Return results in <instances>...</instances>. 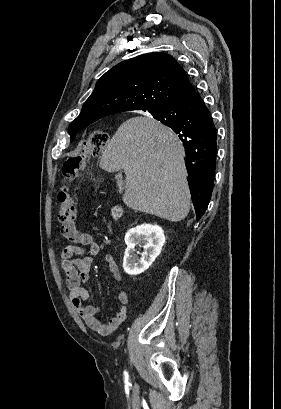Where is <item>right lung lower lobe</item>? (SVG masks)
Returning a JSON list of instances; mask_svg holds the SVG:
<instances>
[{
  "instance_id": "1",
  "label": "right lung lower lobe",
  "mask_w": 281,
  "mask_h": 409,
  "mask_svg": "<svg viewBox=\"0 0 281 409\" xmlns=\"http://www.w3.org/2000/svg\"><path fill=\"white\" fill-rule=\"evenodd\" d=\"M149 112L154 118H172L167 126L179 134L184 145L191 198L199 220L211 198L216 165L217 133L211 114L198 92Z\"/></svg>"
}]
</instances>
